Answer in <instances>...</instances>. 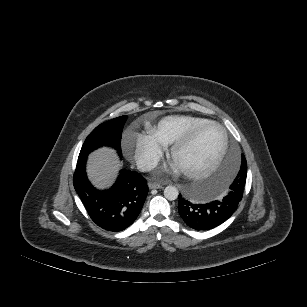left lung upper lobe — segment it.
Masks as SVG:
<instances>
[{
  "label": "left lung upper lobe",
  "instance_id": "1",
  "mask_svg": "<svg viewBox=\"0 0 307 307\" xmlns=\"http://www.w3.org/2000/svg\"><path fill=\"white\" fill-rule=\"evenodd\" d=\"M246 176H247V162L246 159L242 157V163L239 170L238 175L236 176L234 182L232 183V186H230V189H233L234 187H237L241 192L244 190L245 182H246ZM238 184V186H236Z\"/></svg>",
  "mask_w": 307,
  "mask_h": 307
}]
</instances>
